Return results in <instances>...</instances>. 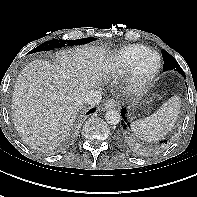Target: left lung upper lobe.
I'll list each match as a JSON object with an SVG mask.
<instances>
[{"label": "left lung upper lobe", "mask_w": 197, "mask_h": 197, "mask_svg": "<svg viewBox=\"0 0 197 197\" xmlns=\"http://www.w3.org/2000/svg\"><path fill=\"white\" fill-rule=\"evenodd\" d=\"M162 56L164 60V65H163V71H168V70H176L179 73H181L183 76H185L184 71L178 64V62L175 60L173 56H171L168 52L165 50H162Z\"/></svg>", "instance_id": "obj_1"}]
</instances>
